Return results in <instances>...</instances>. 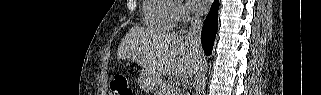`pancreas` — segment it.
Wrapping results in <instances>:
<instances>
[{
  "label": "pancreas",
  "instance_id": "obj_1",
  "mask_svg": "<svg viewBox=\"0 0 321 95\" xmlns=\"http://www.w3.org/2000/svg\"><path fill=\"white\" fill-rule=\"evenodd\" d=\"M156 95H179V88L174 89L171 81H163L159 84Z\"/></svg>",
  "mask_w": 321,
  "mask_h": 95
}]
</instances>
